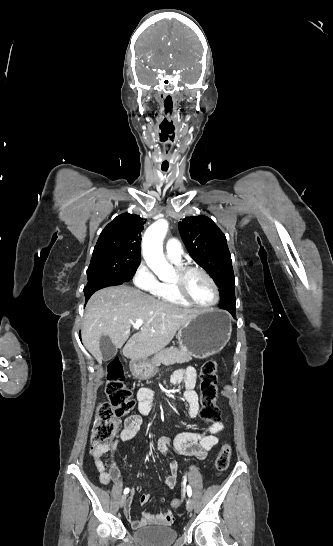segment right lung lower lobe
Here are the masks:
<instances>
[{
  "label": "right lung lower lobe",
  "instance_id": "1",
  "mask_svg": "<svg viewBox=\"0 0 333 546\" xmlns=\"http://www.w3.org/2000/svg\"><path fill=\"white\" fill-rule=\"evenodd\" d=\"M123 283L124 282L117 281L114 279L104 278V277H94L89 279L87 285L84 288V294L86 298L85 304L87 303L91 295L97 290L104 287H108V286L121 285Z\"/></svg>",
  "mask_w": 333,
  "mask_h": 546
}]
</instances>
